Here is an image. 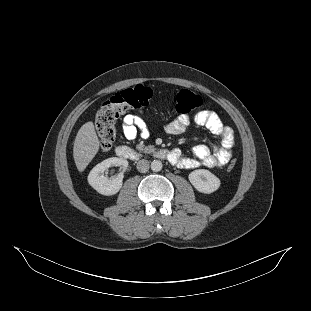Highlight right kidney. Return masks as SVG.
Listing matches in <instances>:
<instances>
[{
  "label": "right kidney",
  "instance_id": "obj_1",
  "mask_svg": "<svg viewBox=\"0 0 311 311\" xmlns=\"http://www.w3.org/2000/svg\"><path fill=\"white\" fill-rule=\"evenodd\" d=\"M121 166V171L110 180L107 179L105 171L110 166ZM129 167L125 158L111 157L97 164L89 173L88 181L99 193L110 195L116 193L122 186L124 173Z\"/></svg>",
  "mask_w": 311,
  "mask_h": 311
}]
</instances>
